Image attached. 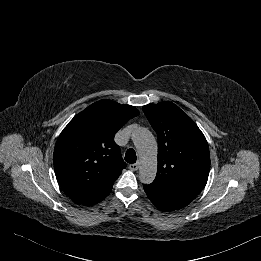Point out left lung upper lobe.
<instances>
[{"instance_id": "left-lung-upper-lobe-1", "label": "left lung upper lobe", "mask_w": 261, "mask_h": 261, "mask_svg": "<svg viewBox=\"0 0 261 261\" xmlns=\"http://www.w3.org/2000/svg\"><path fill=\"white\" fill-rule=\"evenodd\" d=\"M143 111L158 136V169L153 184L198 195L210 170L207 140L195 122L171 102Z\"/></svg>"}]
</instances>
